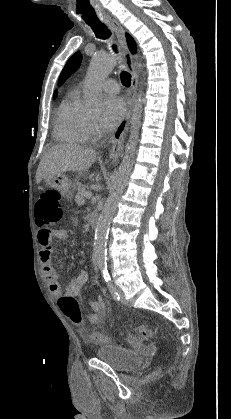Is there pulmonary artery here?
<instances>
[{
    "instance_id": "e3ab8cb5",
    "label": "pulmonary artery",
    "mask_w": 231,
    "mask_h": 419,
    "mask_svg": "<svg viewBox=\"0 0 231 419\" xmlns=\"http://www.w3.org/2000/svg\"><path fill=\"white\" fill-rule=\"evenodd\" d=\"M102 89L109 94H116L119 91L118 83L113 79H108L101 84Z\"/></svg>"
}]
</instances>
